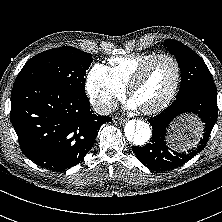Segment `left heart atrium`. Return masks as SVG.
Masks as SVG:
<instances>
[{
  "label": "left heart atrium",
  "instance_id": "39dd6f15",
  "mask_svg": "<svg viewBox=\"0 0 222 222\" xmlns=\"http://www.w3.org/2000/svg\"><path fill=\"white\" fill-rule=\"evenodd\" d=\"M128 107L131 109H135L139 107V104L136 102L134 98H132L128 101Z\"/></svg>",
  "mask_w": 222,
  "mask_h": 222
}]
</instances>
